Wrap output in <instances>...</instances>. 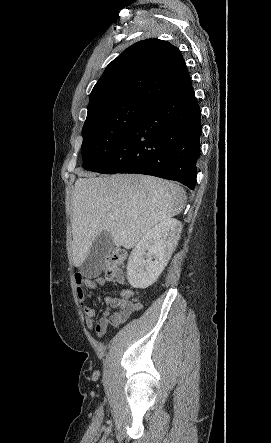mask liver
I'll return each instance as SVG.
<instances>
[{"instance_id":"6515ba94","label":"liver","mask_w":271,"mask_h":443,"mask_svg":"<svg viewBox=\"0 0 271 443\" xmlns=\"http://www.w3.org/2000/svg\"><path fill=\"white\" fill-rule=\"evenodd\" d=\"M72 198V259L82 265L102 231L117 245L134 247L153 225L182 212L186 192L174 182L116 174L99 176L80 172Z\"/></svg>"}]
</instances>
